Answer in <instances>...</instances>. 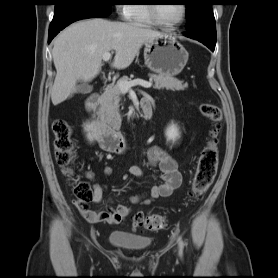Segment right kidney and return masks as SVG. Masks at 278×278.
Here are the masks:
<instances>
[{
  "label": "right kidney",
  "instance_id": "obj_1",
  "mask_svg": "<svg viewBox=\"0 0 278 278\" xmlns=\"http://www.w3.org/2000/svg\"><path fill=\"white\" fill-rule=\"evenodd\" d=\"M84 130L87 132V139L92 142L94 140V135L91 133L92 130V125L91 124H86L84 127Z\"/></svg>",
  "mask_w": 278,
  "mask_h": 278
}]
</instances>
